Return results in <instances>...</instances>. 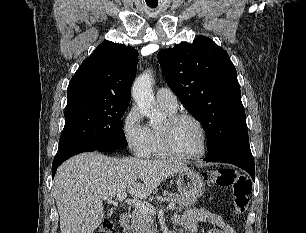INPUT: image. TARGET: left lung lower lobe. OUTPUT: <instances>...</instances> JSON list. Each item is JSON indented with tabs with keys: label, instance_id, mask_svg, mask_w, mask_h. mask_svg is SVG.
<instances>
[{
	"label": "left lung lower lobe",
	"instance_id": "1",
	"mask_svg": "<svg viewBox=\"0 0 306 233\" xmlns=\"http://www.w3.org/2000/svg\"><path fill=\"white\" fill-rule=\"evenodd\" d=\"M207 162H223L234 164L247 171L252 179H255L254 159L250 150V146H234L225 150L216 152L204 159Z\"/></svg>",
	"mask_w": 306,
	"mask_h": 233
}]
</instances>
